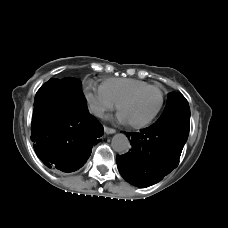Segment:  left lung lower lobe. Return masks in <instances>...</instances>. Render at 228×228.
<instances>
[{
	"instance_id": "0a47b994",
	"label": "left lung lower lobe",
	"mask_w": 228,
	"mask_h": 228,
	"mask_svg": "<svg viewBox=\"0 0 228 228\" xmlns=\"http://www.w3.org/2000/svg\"><path fill=\"white\" fill-rule=\"evenodd\" d=\"M190 121L169 124L157 121L140 132L125 133L132 149L116 157L120 174L129 183L147 187L177 167L187 141Z\"/></svg>"
}]
</instances>
